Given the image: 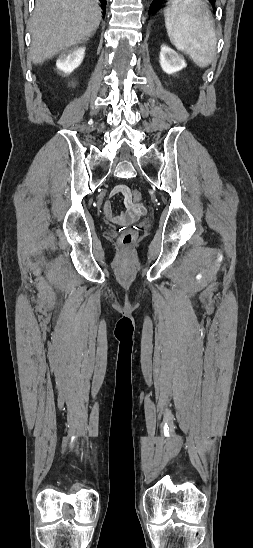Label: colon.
<instances>
[{
    "label": "colon",
    "instance_id": "5ec220e1",
    "mask_svg": "<svg viewBox=\"0 0 253 548\" xmlns=\"http://www.w3.org/2000/svg\"><path fill=\"white\" fill-rule=\"evenodd\" d=\"M130 195H131L132 201L135 202V203L140 202L141 199H142V194L139 190H133L130 193ZM119 243H120L122 248H124L126 250L131 249L133 247L134 243H135L134 234L131 231L124 232L119 238Z\"/></svg>",
    "mask_w": 253,
    "mask_h": 548
}]
</instances>
